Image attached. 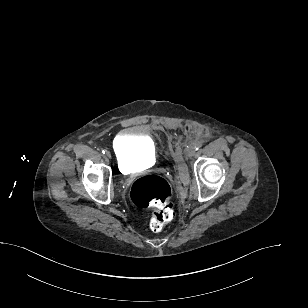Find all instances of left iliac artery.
I'll list each match as a JSON object with an SVG mask.
<instances>
[{"label": "left iliac artery", "mask_w": 308, "mask_h": 308, "mask_svg": "<svg viewBox=\"0 0 308 308\" xmlns=\"http://www.w3.org/2000/svg\"><path fill=\"white\" fill-rule=\"evenodd\" d=\"M199 147H200V145H199V144H197V145L195 146V149H196V150H198V149H199Z\"/></svg>", "instance_id": "1"}]
</instances>
